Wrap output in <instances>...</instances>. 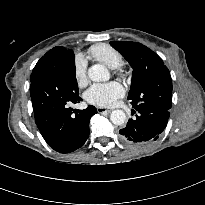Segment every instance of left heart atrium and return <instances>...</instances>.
I'll list each match as a JSON object with an SVG mask.
<instances>
[{"label":"left heart atrium","instance_id":"obj_1","mask_svg":"<svg viewBox=\"0 0 205 205\" xmlns=\"http://www.w3.org/2000/svg\"><path fill=\"white\" fill-rule=\"evenodd\" d=\"M124 95V88L118 82L92 85L85 93L88 103L99 107H112Z\"/></svg>","mask_w":205,"mask_h":205}]
</instances>
